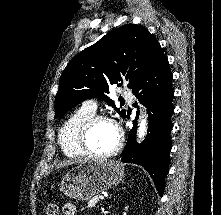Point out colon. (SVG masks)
<instances>
[{
	"label": "colon",
	"instance_id": "obj_1",
	"mask_svg": "<svg viewBox=\"0 0 221 215\" xmlns=\"http://www.w3.org/2000/svg\"><path fill=\"white\" fill-rule=\"evenodd\" d=\"M58 207L55 204H48L46 207V215H57Z\"/></svg>",
	"mask_w": 221,
	"mask_h": 215
}]
</instances>
